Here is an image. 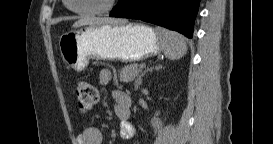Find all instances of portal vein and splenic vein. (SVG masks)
<instances>
[{
	"label": "portal vein and splenic vein",
	"instance_id": "portal-vein-and-splenic-vein-1",
	"mask_svg": "<svg viewBox=\"0 0 273 144\" xmlns=\"http://www.w3.org/2000/svg\"><path fill=\"white\" fill-rule=\"evenodd\" d=\"M145 67H146V64H144V63L140 64V68H145Z\"/></svg>",
	"mask_w": 273,
	"mask_h": 144
}]
</instances>
